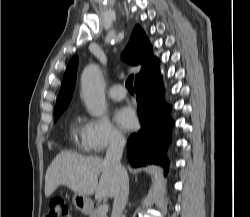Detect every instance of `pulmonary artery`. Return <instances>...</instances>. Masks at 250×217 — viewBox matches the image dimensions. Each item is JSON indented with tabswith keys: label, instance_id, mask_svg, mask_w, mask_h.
I'll return each mask as SVG.
<instances>
[{
	"label": "pulmonary artery",
	"instance_id": "e3ab8cb5",
	"mask_svg": "<svg viewBox=\"0 0 250 217\" xmlns=\"http://www.w3.org/2000/svg\"><path fill=\"white\" fill-rule=\"evenodd\" d=\"M108 95L111 99L120 101L125 98L126 91L121 84H116L109 89Z\"/></svg>",
	"mask_w": 250,
	"mask_h": 217
}]
</instances>
